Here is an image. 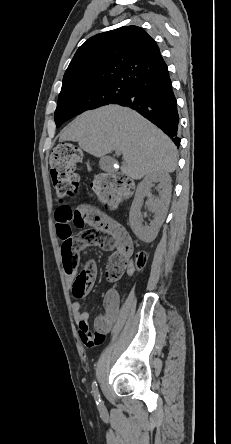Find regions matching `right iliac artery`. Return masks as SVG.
<instances>
[{"mask_svg":"<svg viewBox=\"0 0 231 444\" xmlns=\"http://www.w3.org/2000/svg\"><path fill=\"white\" fill-rule=\"evenodd\" d=\"M92 388H93V392H94V397H95L96 403L99 404L101 400H100V395H99V391H98V387H97L96 381L93 382Z\"/></svg>","mask_w":231,"mask_h":444,"instance_id":"obj_1","label":"right iliac artery"}]
</instances>
